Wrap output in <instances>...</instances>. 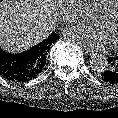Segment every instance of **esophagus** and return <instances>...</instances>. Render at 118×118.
Returning a JSON list of instances; mask_svg holds the SVG:
<instances>
[{
    "instance_id": "34e87169",
    "label": "esophagus",
    "mask_w": 118,
    "mask_h": 118,
    "mask_svg": "<svg viewBox=\"0 0 118 118\" xmlns=\"http://www.w3.org/2000/svg\"><path fill=\"white\" fill-rule=\"evenodd\" d=\"M82 50L89 56L95 55V52L93 50L87 49L85 47H83Z\"/></svg>"
}]
</instances>
